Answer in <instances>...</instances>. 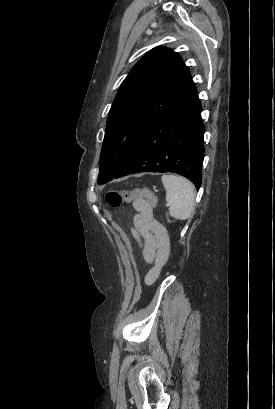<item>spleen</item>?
Returning a JSON list of instances; mask_svg holds the SVG:
<instances>
[{"mask_svg":"<svg viewBox=\"0 0 275 409\" xmlns=\"http://www.w3.org/2000/svg\"><path fill=\"white\" fill-rule=\"evenodd\" d=\"M166 190L169 215L174 219H189L195 207V186L191 180L175 174H163L161 178Z\"/></svg>","mask_w":275,"mask_h":409,"instance_id":"3e777b00","label":"spleen"}]
</instances>
